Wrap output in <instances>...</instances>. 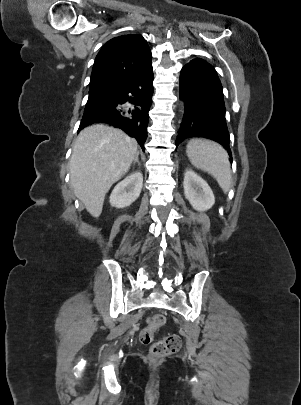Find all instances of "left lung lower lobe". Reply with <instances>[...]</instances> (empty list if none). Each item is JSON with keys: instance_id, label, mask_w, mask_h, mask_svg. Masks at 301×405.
<instances>
[{"instance_id": "1", "label": "left lung lower lobe", "mask_w": 301, "mask_h": 405, "mask_svg": "<svg viewBox=\"0 0 301 405\" xmlns=\"http://www.w3.org/2000/svg\"><path fill=\"white\" fill-rule=\"evenodd\" d=\"M180 97L185 113L175 145L191 137H203L223 146L232 157L225 118L223 88L214 67L195 58L181 70Z\"/></svg>"}]
</instances>
